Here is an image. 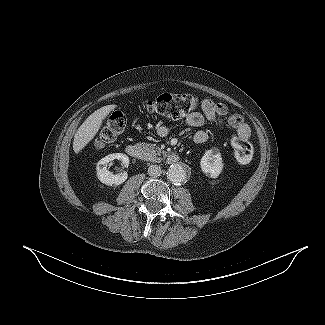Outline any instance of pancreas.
<instances>
[{"instance_id":"cf45deb5","label":"pancreas","mask_w":325,"mask_h":325,"mask_svg":"<svg viewBox=\"0 0 325 325\" xmlns=\"http://www.w3.org/2000/svg\"><path fill=\"white\" fill-rule=\"evenodd\" d=\"M140 145L143 147V150L145 152L144 157L146 160L152 162H160L162 158L158 156L163 155L165 157L167 155V153L160 147L156 146V144L141 143Z\"/></svg>"}]
</instances>
